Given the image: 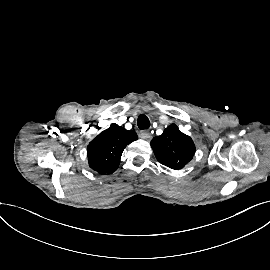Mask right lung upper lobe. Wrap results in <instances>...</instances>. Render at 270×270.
<instances>
[{"mask_svg": "<svg viewBox=\"0 0 270 270\" xmlns=\"http://www.w3.org/2000/svg\"><path fill=\"white\" fill-rule=\"evenodd\" d=\"M134 130H126L117 124L95 137L87 147L89 166L99 174H111L118 168L123 150L137 140Z\"/></svg>", "mask_w": 270, "mask_h": 270, "instance_id": "obj_1", "label": "right lung upper lobe"}]
</instances>
